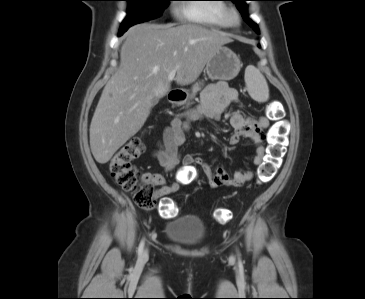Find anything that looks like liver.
Segmentation results:
<instances>
[{"label": "liver", "instance_id": "obj_1", "mask_svg": "<svg viewBox=\"0 0 365 299\" xmlns=\"http://www.w3.org/2000/svg\"><path fill=\"white\" fill-rule=\"evenodd\" d=\"M233 40L199 25L138 24L129 29L120 51V67L103 89L90 125L95 160L107 163L144 125L153 101L170 90L176 71L180 85L194 82L214 52Z\"/></svg>", "mask_w": 365, "mask_h": 299}]
</instances>
